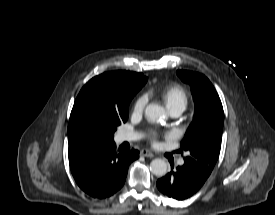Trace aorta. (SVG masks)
<instances>
[{"instance_id": "1", "label": "aorta", "mask_w": 275, "mask_h": 215, "mask_svg": "<svg viewBox=\"0 0 275 215\" xmlns=\"http://www.w3.org/2000/svg\"><path fill=\"white\" fill-rule=\"evenodd\" d=\"M145 116L150 121L159 122L166 117V113L162 106L149 104L145 108ZM150 171L155 176H164L167 173V163L163 159H154L150 163Z\"/></svg>"}]
</instances>
